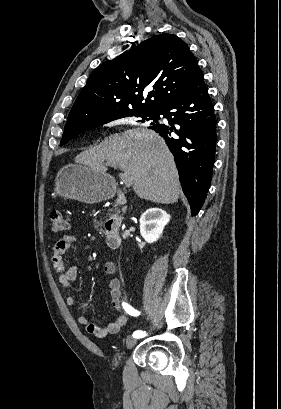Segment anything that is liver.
<instances>
[{
  "label": "liver",
  "instance_id": "6515ba94",
  "mask_svg": "<svg viewBox=\"0 0 281 409\" xmlns=\"http://www.w3.org/2000/svg\"><path fill=\"white\" fill-rule=\"evenodd\" d=\"M75 160L104 174H107L104 160L112 162L133 176V190L145 200L172 205L179 198L177 168L164 138L151 128L138 126L110 134L98 146L77 154ZM110 178L114 180L113 176Z\"/></svg>",
  "mask_w": 281,
  "mask_h": 409
}]
</instances>
